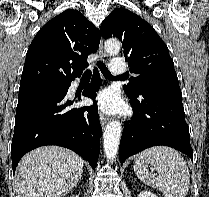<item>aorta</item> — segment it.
Returning a JSON list of instances; mask_svg holds the SVG:
<instances>
[{
  "label": "aorta",
  "instance_id": "1",
  "mask_svg": "<svg viewBox=\"0 0 209 197\" xmlns=\"http://www.w3.org/2000/svg\"><path fill=\"white\" fill-rule=\"evenodd\" d=\"M120 48V42L116 39H109L105 42V50L109 54H117ZM121 131V123L118 120H111L105 128L103 134L104 153L110 161H113L118 153Z\"/></svg>",
  "mask_w": 209,
  "mask_h": 197
}]
</instances>
